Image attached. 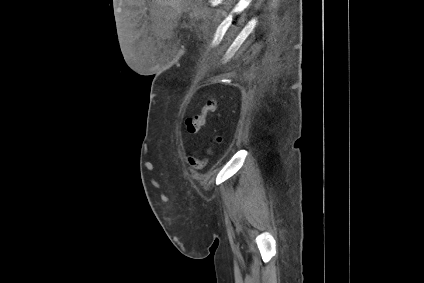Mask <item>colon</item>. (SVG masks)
<instances>
[{
  "mask_svg": "<svg viewBox=\"0 0 424 283\" xmlns=\"http://www.w3.org/2000/svg\"><path fill=\"white\" fill-rule=\"evenodd\" d=\"M217 109V102L215 100H210L202 109L201 113L186 119L185 125L186 130L189 134L198 133L204 126L205 120L208 114L215 112ZM214 142L219 144L222 142L221 136H215ZM189 165L195 170H201L205 167L207 159H196L194 157L188 158Z\"/></svg>",
  "mask_w": 424,
  "mask_h": 283,
  "instance_id": "obj_1",
  "label": "colon"
}]
</instances>
